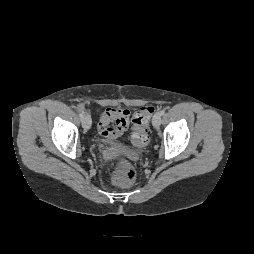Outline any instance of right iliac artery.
Here are the masks:
<instances>
[{
    "label": "right iliac artery",
    "mask_w": 254,
    "mask_h": 254,
    "mask_svg": "<svg viewBox=\"0 0 254 254\" xmlns=\"http://www.w3.org/2000/svg\"><path fill=\"white\" fill-rule=\"evenodd\" d=\"M79 116L81 119L83 118V113L81 111H79Z\"/></svg>",
    "instance_id": "82829eb1"
}]
</instances>
